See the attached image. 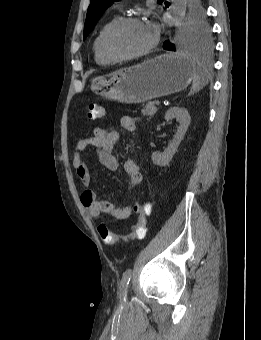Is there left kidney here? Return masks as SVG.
Instances as JSON below:
<instances>
[{
	"label": "left kidney",
	"mask_w": 261,
	"mask_h": 340,
	"mask_svg": "<svg viewBox=\"0 0 261 340\" xmlns=\"http://www.w3.org/2000/svg\"><path fill=\"white\" fill-rule=\"evenodd\" d=\"M176 118L179 122L177 132L174 135L172 141L169 143L168 147L162 152H153L151 159L155 165L166 166L172 160L173 155L176 153L177 148L184 138V135L188 129L191 118L185 108L172 107L165 114V120L170 121Z\"/></svg>",
	"instance_id": "obj_1"
}]
</instances>
